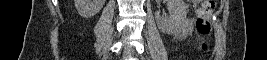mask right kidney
I'll return each instance as SVG.
<instances>
[{
    "instance_id": "obj_1",
    "label": "right kidney",
    "mask_w": 267,
    "mask_h": 60,
    "mask_svg": "<svg viewBox=\"0 0 267 60\" xmlns=\"http://www.w3.org/2000/svg\"><path fill=\"white\" fill-rule=\"evenodd\" d=\"M105 0H74L78 14L84 18L93 17L103 7Z\"/></svg>"
}]
</instances>
